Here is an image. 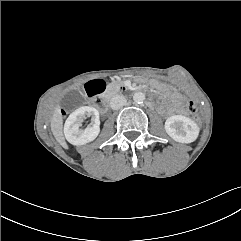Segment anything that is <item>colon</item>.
I'll return each mask as SVG.
<instances>
[{
    "instance_id": "colon-1",
    "label": "colon",
    "mask_w": 241,
    "mask_h": 241,
    "mask_svg": "<svg viewBox=\"0 0 241 241\" xmlns=\"http://www.w3.org/2000/svg\"><path fill=\"white\" fill-rule=\"evenodd\" d=\"M106 89V82L103 80H93L90 81L85 85V93L88 98L94 100L96 104H101L102 102V93ZM186 112L190 115H195L197 113V106L196 103L192 100L188 101L186 104ZM63 114H65V111H63Z\"/></svg>"
}]
</instances>
